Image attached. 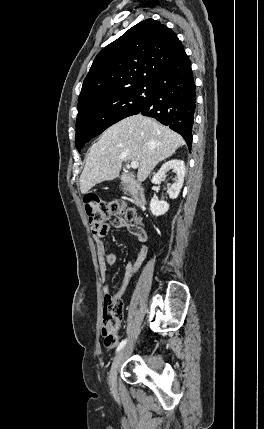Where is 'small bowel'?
Here are the masks:
<instances>
[{
	"mask_svg": "<svg viewBox=\"0 0 264 429\" xmlns=\"http://www.w3.org/2000/svg\"><path fill=\"white\" fill-rule=\"evenodd\" d=\"M110 228H116V229L127 228V230L131 234L135 235L138 238L140 243V250L135 263L127 264L125 266L124 278L117 292V295H122L125 292L129 282L132 280V278L138 271L148 251V246H147L148 233L146 229L142 226L131 225L123 218L113 219L109 224H107L106 230L103 235L95 236L97 252H98V263H99V268L101 272V277L104 281V287H103L104 296L111 295L109 283H108V268L116 262V255L113 252L107 250L103 242V236L107 233V231Z\"/></svg>",
	"mask_w": 264,
	"mask_h": 429,
	"instance_id": "obj_1",
	"label": "small bowel"
}]
</instances>
